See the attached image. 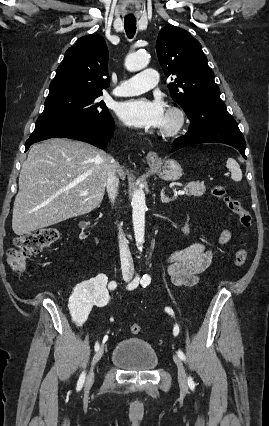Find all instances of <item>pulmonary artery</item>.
<instances>
[{
    "mask_svg": "<svg viewBox=\"0 0 269 426\" xmlns=\"http://www.w3.org/2000/svg\"><path fill=\"white\" fill-rule=\"evenodd\" d=\"M158 83V73L156 70L144 69L136 75L120 82L119 86L113 90L117 96H131L143 93L156 86Z\"/></svg>",
    "mask_w": 269,
    "mask_h": 426,
    "instance_id": "1",
    "label": "pulmonary artery"
}]
</instances>
